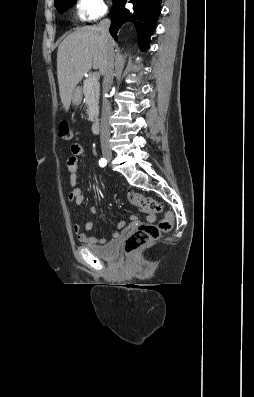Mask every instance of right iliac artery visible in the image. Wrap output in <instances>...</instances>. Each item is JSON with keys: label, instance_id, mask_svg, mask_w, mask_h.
Here are the masks:
<instances>
[{"label": "right iliac artery", "instance_id": "82829eb1", "mask_svg": "<svg viewBox=\"0 0 254 397\" xmlns=\"http://www.w3.org/2000/svg\"><path fill=\"white\" fill-rule=\"evenodd\" d=\"M106 164H107V160H106L105 158H101V159L99 160V165H100L101 167H105Z\"/></svg>", "mask_w": 254, "mask_h": 397}]
</instances>
